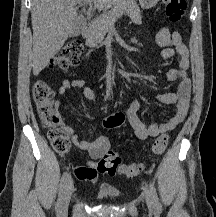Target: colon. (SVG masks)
Masks as SVG:
<instances>
[{
    "instance_id": "obj_1",
    "label": "colon",
    "mask_w": 216,
    "mask_h": 217,
    "mask_svg": "<svg viewBox=\"0 0 216 217\" xmlns=\"http://www.w3.org/2000/svg\"><path fill=\"white\" fill-rule=\"evenodd\" d=\"M166 5V15L177 22L182 19L186 10V0H163ZM83 46L79 41L67 43L52 61V66L63 69L75 67L79 59ZM32 96L37 107V113L43 125L48 129V138L57 153H66L70 143L63 133L61 117L54 108V91L43 80H38L32 88ZM125 115L121 112L111 114L104 122L107 128H116L124 124ZM169 137L167 134L159 135L152 147L155 155L159 156L167 148ZM97 169L101 173L114 175L119 173L126 177H135L143 173L142 164H121L120 157L115 150L109 149L99 159Z\"/></svg>"
}]
</instances>
